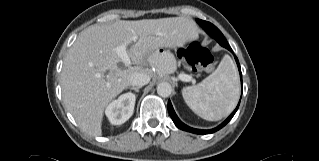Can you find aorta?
Wrapping results in <instances>:
<instances>
[{
  "instance_id": "obj_1",
  "label": "aorta",
  "mask_w": 319,
  "mask_h": 161,
  "mask_svg": "<svg viewBox=\"0 0 319 161\" xmlns=\"http://www.w3.org/2000/svg\"><path fill=\"white\" fill-rule=\"evenodd\" d=\"M157 93L161 97H168L172 93V87L168 82H161L157 86Z\"/></svg>"
}]
</instances>
